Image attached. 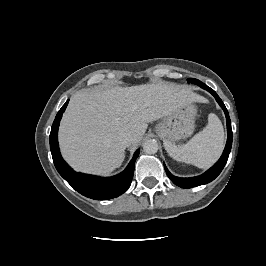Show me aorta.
<instances>
[{
    "mask_svg": "<svg viewBox=\"0 0 266 266\" xmlns=\"http://www.w3.org/2000/svg\"><path fill=\"white\" fill-rule=\"evenodd\" d=\"M143 150L146 154H155L158 151V143L154 139L146 140L143 143Z\"/></svg>",
    "mask_w": 266,
    "mask_h": 266,
    "instance_id": "obj_1",
    "label": "aorta"
}]
</instances>
